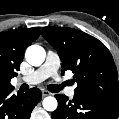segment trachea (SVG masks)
I'll use <instances>...</instances> for the list:
<instances>
[{
  "mask_svg": "<svg viewBox=\"0 0 119 119\" xmlns=\"http://www.w3.org/2000/svg\"><path fill=\"white\" fill-rule=\"evenodd\" d=\"M62 89L61 85L50 84L48 85V90L52 93H57Z\"/></svg>",
  "mask_w": 119,
  "mask_h": 119,
  "instance_id": "3493384b",
  "label": "trachea"
}]
</instances>
